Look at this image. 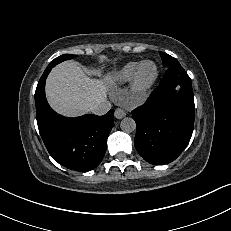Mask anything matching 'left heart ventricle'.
Instances as JSON below:
<instances>
[{"mask_svg": "<svg viewBox=\"0 0 231 231\" xmlns=\"http://www.w3.org/2000/svg\"><path fill=\"white\" fill-rule=\"evenodd\" d=\"M155 73V67L153 64L149 63L145 65L141 72V80L143 82L150 80Z\"/></svg>", "mask_w": 231, "mask_h": 231, "instance_id": "b2bd125f", "label": "left heart ventricle"}]
</instances>
